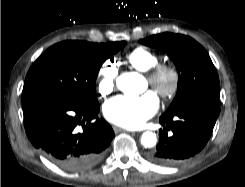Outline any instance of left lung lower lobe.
<instances>
[{
    "label": "left lung lower lobe",
    "instance_id": "obj_1",
    "mask_svg": "<svg viewBox=\"0 0 245 187\" xmlns=\"http://www.w3.org/2000/svg\"><path fill=\"white\" fill-rule=\"evenodd\" d=\"M219 114V99H205L160 117L164 126L150 160L161 165L179 163L203 149ZM171 131V135L167 134Z\"/></svg>",
    "mask_w": 245,
    "mask_h": 187
}]
</instances>
